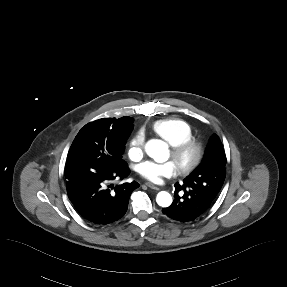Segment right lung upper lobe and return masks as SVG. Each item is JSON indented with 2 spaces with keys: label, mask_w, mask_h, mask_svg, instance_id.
<instances>
[{
  "label": "right lung upper lobe",
  "mask_w": 287,
  "mask_h": 287,
  "mask_svg": "<svg viewBox=\"0 0 287 287\" xmlns=\"http://www.w3.org/2000/svg\"><path fill=\"white\" fill-rule=\"evenodd\" d=\"M133 119L125 116L119 119L103 118L88 123L96 130L97 135L107 142H112L129 135L133 129Z\"/></svg>",
  "instance_id": "obj_1"
}]
</instances>
